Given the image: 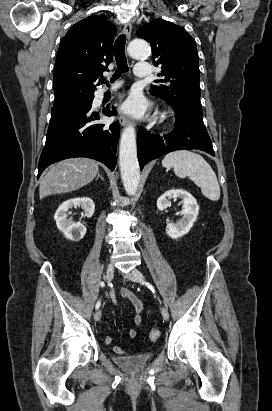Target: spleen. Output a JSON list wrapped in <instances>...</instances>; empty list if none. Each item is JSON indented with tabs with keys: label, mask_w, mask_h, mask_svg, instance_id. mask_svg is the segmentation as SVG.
<instances>
[{
	"label": "spleen",
	"mask_w": 272,
	"mask_h": 411,
	"mask_svg": "<svg viewBox=\"0 0 272 411\" xmlns=\"http://www.w3.org/2000/svg\"><path fill=\"white\" fill-rule=\"evenodd\" d=\"M162 165L173 168L179 178L189 177L208 199L219 200L220 186L216 174L201 155L188 150L171 152L164 157Z\"/></svg>",
	"instance_id": "3e777b00"
}]
</instances>
